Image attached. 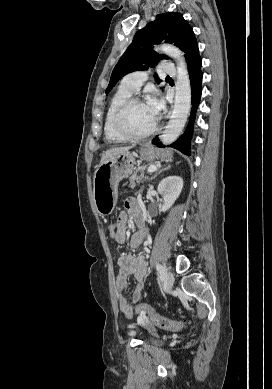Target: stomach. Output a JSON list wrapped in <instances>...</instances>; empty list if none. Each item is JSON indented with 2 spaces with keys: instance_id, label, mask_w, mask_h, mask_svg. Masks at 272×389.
<instances>
[{
  "instance_id": "stomach-1",
  "label": "stomach",
  "mask_w": 272,
  "mask_h": 389,
  "mask_svg": "<svg viewBox=\"0 0 272 389\" xmlns=\"http://www.w3.org/2000/svg\"><path fill=\"white\" fill-rule=\"evenodd\" d=\"M140 157L146 161L155 159L170 160L172 152L168 149H155L143 145ZM135 153L124 152L101 163L94 174L93 198L96 211L100 216H107L114 210L118 199L119 182L128 177L135 169Z\"/></svg>"
}]
</instances>
